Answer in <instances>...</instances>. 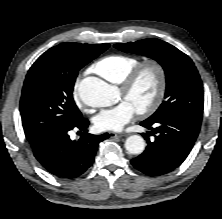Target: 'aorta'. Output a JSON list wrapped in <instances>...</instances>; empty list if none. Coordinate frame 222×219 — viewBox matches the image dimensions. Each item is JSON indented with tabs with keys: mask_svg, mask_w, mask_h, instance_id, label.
I'll use <instances>...</instances> for the list:
<instances>
[{
	"mask_svg": "<svg viewBox=\"0 0 222 219\" xmlns=\"http://www.w3.org/2000/svg\"><path fill=\"white\" fill-rule=\"evenodd\" d=\"M80 99L90 107H107L115 100L113 88L98 77H86L78 85ZM125 148L131 154H141L145 149V141L139 135L129 136Z\"/></svg>",
	"mask_w": 222,
	"mask_h": 219,
	"instance_id": "1",
	"label": "aorta"
}]
</instances>
